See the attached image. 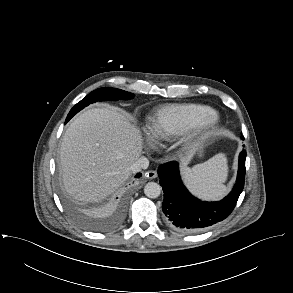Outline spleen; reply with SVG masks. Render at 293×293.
I'll use <instances>...</instances> for the list:
<instances>
[{
    "label": "spleen",
    "instance_id": "spleen-1",
    "mask_svg": "<svg viewBox=\"0 0 293 293\" xmlns=\"http://www.w3.org/2000/svg\"><path fill=\"white\" fill-rule=\"evenodd\" d=\"M228 175L227 159L217 154L208 161L185 171V180L190 190L203 199H219L226 193L223 184Z\"/></svg>",
    "mask_w": 293,
    "mask_h": 293
}]
</instances>
